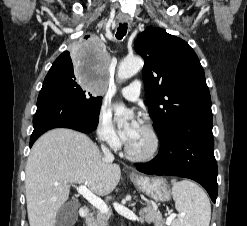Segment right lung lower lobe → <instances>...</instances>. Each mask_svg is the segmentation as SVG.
Segmentation results:
<instances>
[{"label": "right lung lower lobe", "instance_id": "1", "mask_svg": "<svg viewBox=\"0 0 247 226\" xmlns=\"http://www.w3.org/2000/svg\"><path fill=\"white\" fill-rule=\"evenodd\" d=\"M98 121L99 112L88 109L57 86L43 84L33 118L30 147L47 130L64 127L89 133L96 129Z\"/></svg>", "mask_w": 247, "mask_h": 226}]
</instances>
